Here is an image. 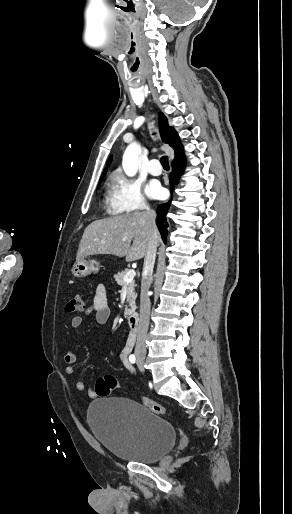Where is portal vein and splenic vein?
<instances>
[{
	"mask_svg": "<svg viewBox=\"0 0 292 514\" xmlns=\"http://www.w3.org/2000/svg\"><path fill=\"white\" fill-rule=\"evenodd\" d=\"M134 276H135V270H129V272H127V274L124 278V282H126V284H129V282H132Z\"/></svg>",
	"mask_w": 292,
	"mask_h": 514,
	"instance_id": "portal-vein-and-splenic-vein-1",
	"label": "portal vein and splenic vein"
}]
</instances>
